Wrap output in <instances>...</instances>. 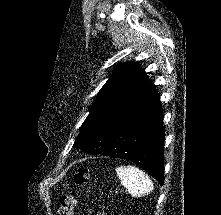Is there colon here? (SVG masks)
<instances>
[{"label":"colon","instance_id":"5ec220e1","mask_svg":"<svg viewBox=\"0 0 221 215\" xmlns=\"http://www.w3.org/2000/svg\"><path fill=\"white\" fill-rule=\"evenodd\" d=\"M89 171L85 167L78 168L72 177L75 185H83L89 180ZM76 199L71 195H64L60 199V206L57 210V215H73L74 209L76 208ZM97 215H104L98 213Z\"/></svg>","mask_w":221,"mask_h":215}]
</instances>
